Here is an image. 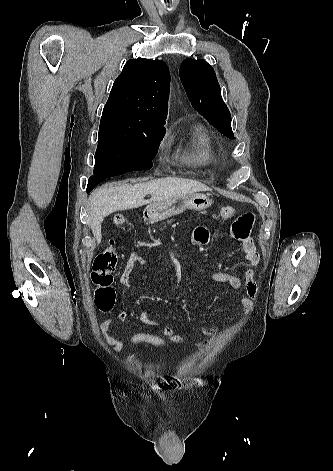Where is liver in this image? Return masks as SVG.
<instances>
[{
	"mask_svg": "<svg viewBox=\"0 0 333 471\" xmlns=\"http://www.w3.org/2000/svg\"><path fill=\"white\" fill-rule=\"evenodd\" d=\"M209 190V187L199 181L179 177H166L146 183L124 184L116 187L108 184L103 185L94 191L90 197L92 233L97 243H100L103 219L113 212L138 208L148 203L163 202L182 195ZM148 194L151 195V198L145 200L144 198Z\"/></svg>",
	"mask_w": 333,
	"mask_h": 471,
	"instance_id": "6515ba94",
	"label": "liver"
}]
</instances>
